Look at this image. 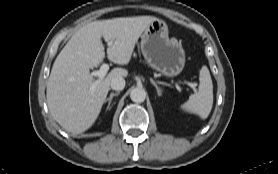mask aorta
I'll use <instances>...</instances> for the list:
<instances>
[{"mask_svg": "<svg viewBox=\"0 0 278 174\" xmlns=\"http://www.w3.org/2000/svg\"><path fill=\"white\" fill-rule=\"evenodd\" d=\"M130 98L135 103H142L146 98V91L141 87H136L131 90Z\"/></svg>", "mask_w": 278, "mask_h": 174, "instance_id": "aorta-1", "label": "aorta"}]
</instances>
